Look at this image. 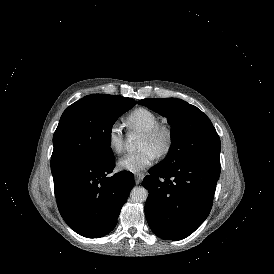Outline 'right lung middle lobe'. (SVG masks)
I'll list each match as a JSON object with an SVG mask.
<instances>
[{
    "instance_id": "right-lung-middle-lobe-1",
    "label": "right lung middle lobe",
    "mask_w": 274,
    "mask_h": 274,
    "mask_svg": "<svg viewBox=\"0 0 274 274\" xmlns=\"http://www.w3.org/2000/svg\"><path fill=\"white\" fill-rule=\"evenodd\" d=\"M136 105L132 98L92 94L70 105L53 136L51 168L74 162L113 158L111 130L118 117Z\"/></svg>"
}]
</instances>
